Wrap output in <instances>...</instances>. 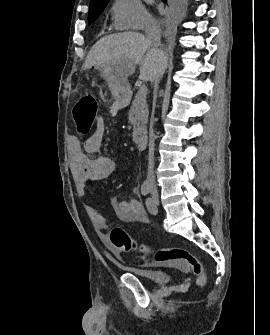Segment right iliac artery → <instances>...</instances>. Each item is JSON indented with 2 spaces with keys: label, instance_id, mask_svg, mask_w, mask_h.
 Segmentation results:
<instances>
[{
  "label": "right iliac artery",
  "instance_id": "obj_1",
  "mask_svg": "<svg viewBox=\"0 0 270 335\" xmlns=\"http://www.w3.org/2000/svg\"><path fill=\"white\" fill-rule=\"evenodd\" d=\"M141 193L143 195H147L149 193V183L147 181H144L141 186Z\"/></svg>",
  "mask_w": 270,
  "mask_h": 335
}]
</instances>
